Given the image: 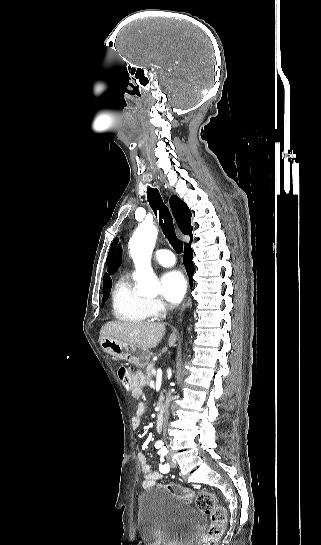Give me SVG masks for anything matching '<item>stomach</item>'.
Segmentation results:
<instances>
[{
  "instance_id": "0dacf381",
  "label": "stomach",
  "mask_w": 321,
  "mask_h": 545,
  "mask_svg": "<svg viewBox=\"0 0 321 545\" xmlns=\"http://www.w3.org/2000/svg\"><path fill=\"white\" fill-rule=\"evenodd\" d=\"M99 345L108 355H112L114 359H120V361H128L131 365H136L140 369L147 367L150 361V353L147 349H138L134 345H129V343H123V341H118L114 337H100Z\"/></svg>"
}]
</instances>
